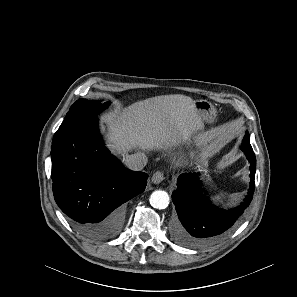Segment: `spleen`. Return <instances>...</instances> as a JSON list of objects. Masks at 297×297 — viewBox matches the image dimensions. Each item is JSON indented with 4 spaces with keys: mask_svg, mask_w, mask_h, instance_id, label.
Listing matches in <instances>:
<instances>
[{
    "mask_svg": "<svg viewBox=\"0 0 297 297\" xmlns=\"http://www.w3.org/2000/svg\"><path fill=\"white\" fill-rule=\"evenodd\" d=\"M227 197H228L227 193L221 192L220 194H217L214 198L216 200L223 201V199H226Z\"/></svg>",
    "mask_w": 297,
    "mask_h": 297,
    "instance_id": "1",
    "label": "spleen"
}]
</instances>
